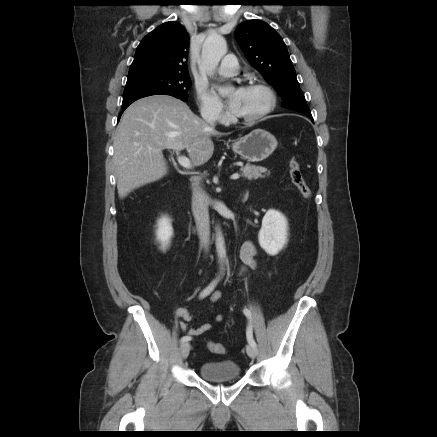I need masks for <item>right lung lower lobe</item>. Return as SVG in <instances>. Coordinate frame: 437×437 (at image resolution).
<instances>
[{
	"instance_id": "right-lung-lower-lobe-1",
	"label": "right lung lower lobe",
	"mask_w": 437,
	"mask_h": 437,
	"mask_svg": "<svg viewBox=\"0 0 437 437\" xmlns=\"http://www.w3.org/2000/svg\"><path fill=\"white\" fill-rule=\"evenodd\" d=\"M128 106H129V105H127V106H122V110L124 111ZM119 118H120V117H119Z\"/></svg>"
}]
</instances>
